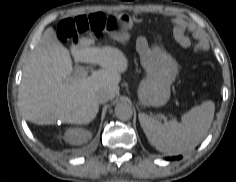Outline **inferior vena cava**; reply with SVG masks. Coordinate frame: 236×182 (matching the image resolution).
<instances>
[{
    "label": "inferior vena cava",
    "mask_w": 236,
    "mask_h": 182,
    "mask_svg": "<svg viewBox=\"0 0 236 182\" xmlns=\"http://www.w3.org/2000/svg\"><path fill=\"white\" fill-rule=\"evenodd\" d=\"M96 99L99 103H105L112 99V93L109 90H101L97 93Z\"/></svg>",
    "instance_id": "1"
}]
</instances>
